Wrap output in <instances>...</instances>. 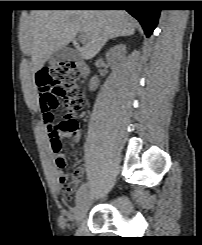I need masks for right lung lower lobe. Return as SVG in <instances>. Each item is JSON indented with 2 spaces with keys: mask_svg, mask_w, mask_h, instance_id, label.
Wrapping results in <instances>:
<instances>
[{
  "mask_svg": "<svg viewBox=\"0 0 202 245\" xmlns=\"http://www.w3.org/2000/svg\"><path fill=\"white\" fill-rule=\"evenodd\" d=\"M79 6L125 7V10L140 22L147 37L155 29L160 14V9L157 8L155 1H80Z\"/></svg>",
  "mask_w": 202,
  "mask_h": 245,
  "instance_id": "right-lung-lower-lobe-1",
  "label": "right lung lower lobe"
}]
</instances>
